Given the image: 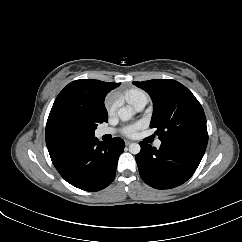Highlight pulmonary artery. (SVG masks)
I'll return each instance as SVG.
<instances>
[{"label":"pulmonary artery","mask_w":242,"mask_h":242,"mask_svg":"<svg viewBox=\"0 0 242 242\" xmlns=\"http://www.w3.org/2000/svg\"><path fill=\"white\" fill-rule=\"evenodd\" d=\"M147 104V97L146 95H143L141 97H139L134 103H133V107L134 109L137 111V112H140L142 111L145 106ZM116 132L115 129L113 128H104V129H101L99 132H98V135L99 136H104V135H111V134H114ZM161 145V141L160 140H157L155 142V146L156 147H159Z\"/></svg>","instance_id":"obj_1"}]
</instances>
